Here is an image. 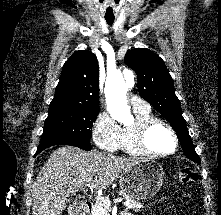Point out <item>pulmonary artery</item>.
I'll return each instance as SVG.
<instances>
[{"label": "pulmonary artery", "instance_id": "obj_1", "mask_svg": "<svg viewBox=\"0 0 221 215\" xmlns=\"http://www.w3.org/2000/svg\"><path fill=\"white\" fill-rule=\"evenodd\" d=\"M129 102H130V105L133 108V110H147V109H149L148 103L138 96H131L129 99Z\"/></svg>", "mask_w": 221, "mask_h": 215}]
</instances>
